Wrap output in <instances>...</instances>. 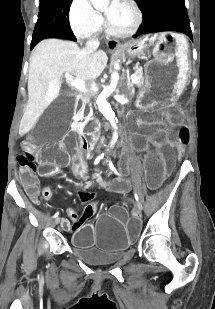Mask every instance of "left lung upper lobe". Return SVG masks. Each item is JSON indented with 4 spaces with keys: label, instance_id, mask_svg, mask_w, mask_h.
<instances>
[{
    "label": "left lung upper lobe",
    "instance_id": "obj_1",
    "mask_svg": "<svg viewBox=\"0 0 215 309\" xmlns=\"http://www.w3.org/2000/svg\"><path fill=\"white\" fill-rule=\"evenodd\" d=\"M143 24L135 37L152 31H177L193 40L184 0H136Z\"/></svg>",
    "mask_w": 215,
    "mask_h": 309
}]
</instances>
